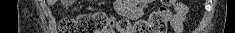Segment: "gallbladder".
I'll return each mask as SVG.
<instances>
[{"instance_id":"obj_1","label":"gallbladder","mask_w":235,"mask_h":33,"mask_svg":"<svg viewBox=\"0 0 235 33\" xmlns=\"http://www.w3.org/2000/svg\"><path fill=\"white\" fill-rule=\"evenodd\" d=\"M66 2H71V0H66Z\"/></svg>"}]
</instances>
